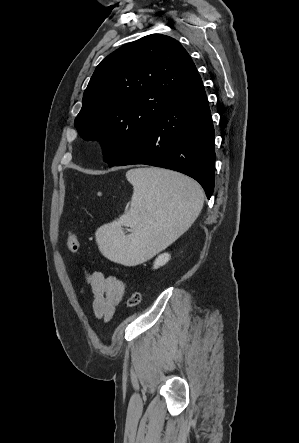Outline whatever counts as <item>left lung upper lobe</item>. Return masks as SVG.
<instances>
[{"label": "left lung upper lobe", "instance_id": "obj_1", "mask_svg": "<svg viewBox=\"0 0 299 443\" xmlns=\"http://www.w3.org/2000/svg\"><path fill=\"white\" fill-rule=\"evenodd\" d=\"M196 72L187 51L172 37L152 34L131 42L97 66L75 127L84 140L101 143L103 159L112 167Z\"/></svg>", "mask_w": 299, "mask_h": 443}]
</instances>
